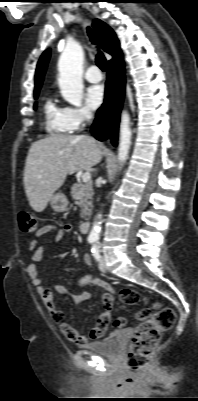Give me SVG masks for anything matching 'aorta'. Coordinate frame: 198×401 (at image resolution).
Listing matches in <instances>:
<instances>
[{"mask_svg": "<svg viewBox=\"0 0 198 401\" xmlns=\"http://www.w3.org/2000/svg\"><path fill=\"white\" fill-rule=\"evenodd\" d=\"M58 83L62 97L70 104L80 106L83 98V50L78 43H68L58 62ZM130 116L124 111L120 124V143L118 160L126 161L131 144ZM102 215L98 214L89 234V239H99Z\"/></svg>", "mask_w": 198, "mask_h": 401, "instance_id": "obj_1", "label": "aorta"}]
</instances>
